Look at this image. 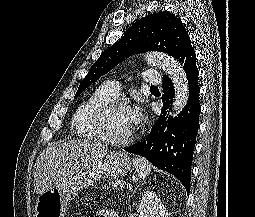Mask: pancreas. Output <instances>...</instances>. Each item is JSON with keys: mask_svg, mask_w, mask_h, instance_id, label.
I'll return each mask as SVG.
<instances>
[{"mask_svg": "<svg viewBox=\"0 0 255 217\" xmlns=\"http://www.w3.org/2000/svg\"><path fill=\"white\" fill-rule=\"evenodd\" d=\"M124 185H125V182L123 180H115V181H112L109 183L107 190H109L110 188L116 189V190L122 189V188H124Z\"/></svg>", "mask_w": 255, "mask_h": 217, "instance_id": "1", "label": "pancreas"}]
</instances>
